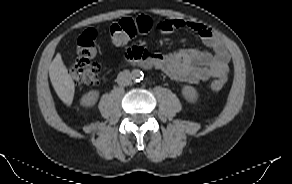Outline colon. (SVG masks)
Masks as SVG:
<instances>
[{"label":"colon","mask_w":292,"mask_h":184,"mask_svg":"<svg viewBox=\"0 0 292 184\" xmlns=\"http://www.w3.org/2000/svg\"><path fill=\"white\" fill-rule=\"evenodd\" d=\"M157 32L155 21L142 15L137 18H124L110 28V38L115 45H124L136 35L152 36ZM96 32L89 29L78 38L76 57L69 67V73L77 84L93 86L102 80L101 66L92 61L96 53ZM228 76L223 75L209 85L211 91H220Z\"/></svg>","instance_id":"obj_1"}]
</instances>
